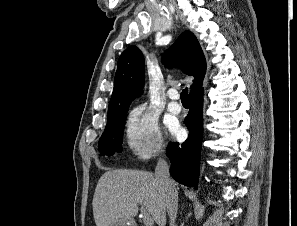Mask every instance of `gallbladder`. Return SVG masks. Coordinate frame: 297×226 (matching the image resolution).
<instances>
[{
    "mask_svg": "<svg viewBox=\"0 0 297 226\" xmlns=\"http://www.w3.org/2000/svg\"><path fill=\"white\" fill-rule=\"evenodd\" d=\"M128 222V219H119L112 226H126Z\"/></svg>",
    "mask_w": 297,
    "mask_h": 226,
    "instance_id": "gallbladder-1",
    "label": "gallbladder"
}]
</instances>
